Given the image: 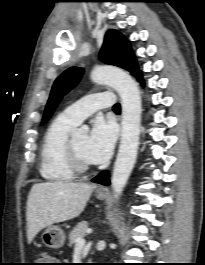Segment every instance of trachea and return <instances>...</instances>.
I'll use <instances>...</instances> for the list:
<instances>
[{"label":"trachea","mask_w":205,"mask_h":265,"mask_svg":"<svg viewBox=\"0 0 205 265\" xmlns=\"http://www.w3.org/2000/svg\"><path fill=\"white\" fill-rule=\"evenodd\" d=\"M113 110H120V104L119 103L115 104Z\"/></svg>","instance_id":"3493384b"}]
</instances>
